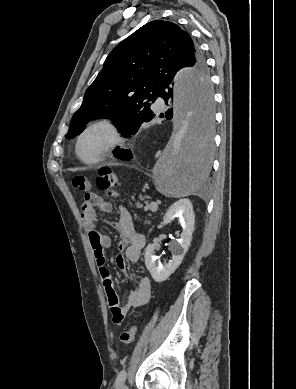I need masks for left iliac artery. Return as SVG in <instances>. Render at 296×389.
Returning a JSON list of instances; mask_svg holds the SVG:
<instances>
[{"label": "left iliac artery", "mask_w": 296, "mask_h": 389, "mask_svg": "<svg viewBox=\"0 0 296 389\" xmlns=\"http://www.w3.org/2000/svg\"><path fill=\"white\" fill-rule=\"evenodd\" d=\"M126 377H127V372L126 370H122L120 371V373L118 374V377H117V386L122 384L125 380H126Z\"/></svg>", "instance_id": "obj_1"}]
</instances>
